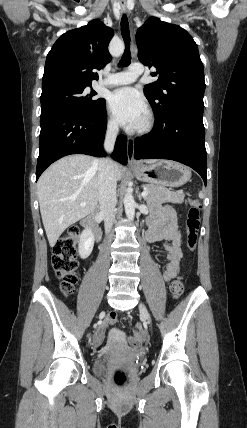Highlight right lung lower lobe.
<instances>
[{
	"instance_id": "98d812e1",
	"label": "right lung lower lobe",
	"mask_w": 247,
	"mask_h": 428,
	"mask_svg": "<svg viewBox=\"0 0 247 428\" xmlns=\"http://www.w3.org/2000/svg\"><path fill=\"white\" fill-rule=\"evenodd\" d=\"M106 125L105 105L94 115H82L65 110L41 114L36 181L50 164L66 155L105 156L102 144ZM112 157L122 164L127 163L125 136H118Z\"/></svg>"
}]
</instances>
